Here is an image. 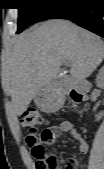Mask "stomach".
<instances>
[{
	"label": "stomach",
	"mask_w": 104,
	"mask_h": 169,
	"mask_svg": "<svg viewBox=\"0 0 104 169\" xmlns=\"http://www.w3.org/2000/svg\"><path fill=\"white\" fill-rule=\"evenodd\" d=\"M57 98L52 85L44 86L36 95L35 103L43 111H50L54 107V100Z\"/></svg>",
	"instance_id": "0dacf381"
}]
</instances>
